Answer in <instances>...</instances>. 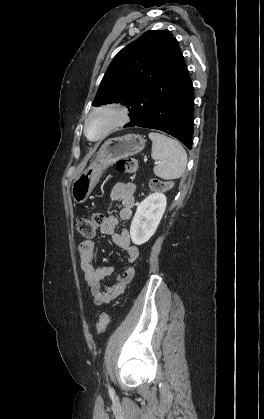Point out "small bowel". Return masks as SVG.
<instances>
[{
    "label": "small bowel",
    "mask_w": 264,
    "mask_h": 419,
    "mask_svg": "<svg viewBox=\"0 0 264 419\" xmlns=\"http://www.w3.org/2000/svg\"><path fill=\"white\" fill-rule=\"evenodd\" d=\"M135 191L136 186L132 182L116 183L111 189L110 198L121 204L119 215H110L104 218L103 223L99 227L102 233L110 235L113 242L127 254L128 265L116 276L114 284L111 286L102 285L103 280L109 277L113 270L110 266H94L95 242L84 240L79 244L80 267L96 305L107 304L117 298L123 293L126 285L134 276L135 267L139 258V249L136 245L132 244L127 229L117 232L116 228L121 220L126 221L131 218L132 209L135 205Z\"/></svg>",
    "instance_id": "1"
}]
</instances>
